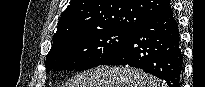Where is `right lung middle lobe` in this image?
I'll use <instances>...</instances> for the list:
<instances>
[{
  "mask_svg": "<svg viewBox=\"0 0 205 87\" xmlns=\"http://www.w3.org/2000/svg\"><path fill=\"white\" fill-rule=\"evenodd\" d=\"M133 32L134 30L107 28L59 40L53 43L46 56V71L96 67L121 48Z\"/></svg>",
  "mask_w": 205,
  "mask_h": 87,
  "instance_id": "1",
  "label": "right lung middle lobe"
}]
</instances>
